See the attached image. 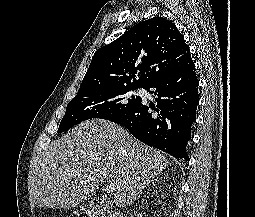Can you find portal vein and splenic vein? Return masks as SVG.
<instances>
[{"label":"portal vein and splenic vein","instance_id":"obj_1","mask_svg":"<svg viewBox=\"0 0 255 217\" xmlns=\"http://www.w3.org/2000/svg\"><path fill=\"white\" fill-rule=\"evenodd\" d=\"M105 190L107 193H113L115 191V187L112 186L111 184H107Z\"/></svg>","mask_w":255,"mask_h":217}]
</instances>
